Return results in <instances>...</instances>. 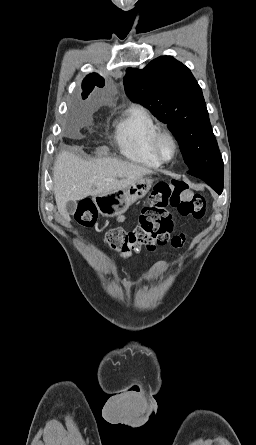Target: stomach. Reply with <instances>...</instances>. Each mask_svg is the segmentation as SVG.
I'll return each mask as SVG.
<instances>
[{
  "instance_id": "1",
  "label": "stomach",
  "mask_w": 256,
  "mask_h": 445,
  "mask_svg": "<svg viewBox=\"0 0 256 445\" xmlns=\"http://www.w3.org/2000/svg\"><path fill=\"white\" fill-rule=\"evenodd\" d=\"M153 182L151 176L143 177L122 190L98 194L94 196V201L102 216H119L124 214L131 204L143 198L152 187Z\"/></svg>"
}]
</instances>
